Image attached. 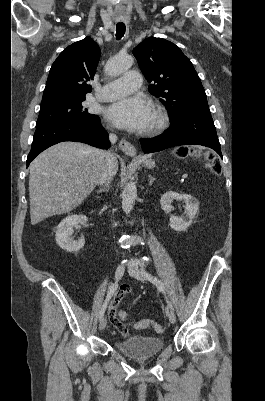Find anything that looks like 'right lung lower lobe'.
Instances as JSON below:
<instances>
[{
  "instance_id": "98d812e1",
  "label": "right lung lower lobe",
  "mask_w": 265,
  "mask_h": 401,
  "mask_svg": "<svg viewBox=\"0 0 265 401\" xmlns=\"http://www.w3.org/2000/svg\"><path fill=\"white\" fill-rule=\"evenodd\" d=\"M62 141H77L106 149L108 133L99 123L83 121H56L36 126L27 166L43 150Z\"/></svg>"
}]
</instances>
